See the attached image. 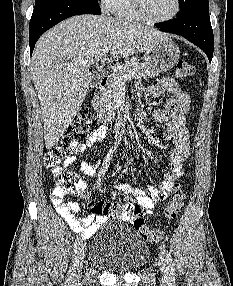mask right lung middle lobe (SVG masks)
Segmentation results:
<instances>
[{"mask_svg":"<svg viewBox=\"0 0 233 286\" xmlns=\"http://www.w3.org/2000/svg\"><path fill=\"white\" fill-rule=\"evenodd\" d=\"M48 0H35V7L34 10H37L39 8H41L44 4L47 3ZM79 2H83L99 11H101L100 6L97 2V0H77Z\"/></svg>","mask_w":233,"mask_h":286,"instance_id":"right-lung-middle-lobe-1","label":"right lung middle lobe"}]
</instances>
